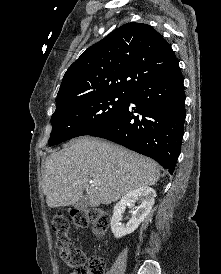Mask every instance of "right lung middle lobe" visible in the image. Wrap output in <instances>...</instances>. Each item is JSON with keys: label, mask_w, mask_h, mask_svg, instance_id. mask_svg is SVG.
<instances>
[{"label": "right lung middle lobe", "mask_w": 221, "mask_h": 274, "mask_svg": "<svg viewBox=\"0 0 221 274\" xmlns=\"http://www.w3.org/2000/svg\"><path fill=\"white\" fill-rule=\"evenodd\" d=\"M129 97V94L111 93L56 103L48 144L53 146L89 135L114 118Z\"/></svg>", "instance_id": "dd1d6c3e"}]
</instances>
